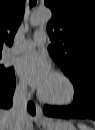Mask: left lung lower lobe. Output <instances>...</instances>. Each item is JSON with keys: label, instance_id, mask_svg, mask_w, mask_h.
I'll return each instance as SVG.
<instances>
[{"label": "left lung lower lobe", "instance_id": "left-lung-lower-lobe-1", "mask_svg": "<svg viewBox=\"0 0 95 130\" xmlns=\"http://www.w3.org/2000/svg\"><path fill=\"white\" fill-rule=\"evenodd\" d=\"M74 101L67 107L44 106L43 113L49 117L89 118L95 120V73L86 74L74 85Z\"/></svg>", "mask_w": 95, "mask_h": 130}]
</instances>
